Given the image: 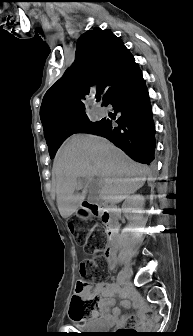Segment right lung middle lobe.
<instances>
[{
    "instance_id": "obj_1",
    "label": "right lung middle lobe",
    "mask_w": 193,
    "mask_h": 336,
    "mask_svg": "<svg viewBox=\"0 0 193 336\" xmlns=\"http://www.w3.org/2000/svg\"><path fill=\"white\" fill-rule=\"evenodd\" d=\"M104 119L96 122H91L87 116L76 122L69 130L66 132L56 135L47 141L49 146V154L52 159L55 156L60 145L68 138L70 135L75 133H93L97 131L103 125Z\"/></svg>"
}]
</instances>
